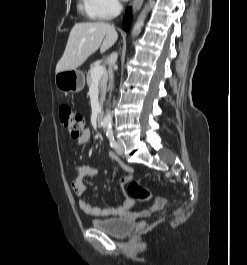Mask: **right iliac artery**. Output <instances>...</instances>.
<instances>
[{
    "label": "right iliac artery",
    "instance_id": "right-iliac-artery-1",
    "mask_svg": "<svg viewBox=\"0 0 247 265\" xmlns=\"http://www.w3.org/2000/svg\"><path fill=\"white\" fill-rule=\"evenodd\" d=\"M103 126H104V127H108V125H107V124H104Z\"/></svg>",
    "mask_w": 247,
    "mask_h": 265
}]
</instances>
